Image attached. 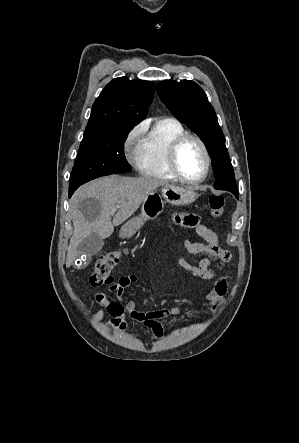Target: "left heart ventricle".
I'll use <instances>...</instances> for the list:
<instances>
[{
  "label": "left heart ventricle",
  "instance_id": "b2bd125f",
  "mask_svg": "<svg viewBox=\"0 0 299 443\" xmlns=\"http://www.w3.org/2000/svg\"><path fill=\"white\" fill-rule=\"evenodd\" d=\"M178 162L182 173L190 179L199 178L204 172V155L195 140H188L182 145L178 154Z\"/></svg>",
  "mask_w": 299,
  "mask_h": 443
}]
</instances>
